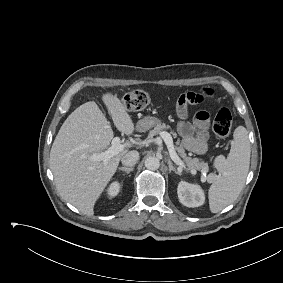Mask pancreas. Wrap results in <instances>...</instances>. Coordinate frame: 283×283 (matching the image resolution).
I'll return each instance as SVG.
<instances>
[{"mask_svg":"<svg viewBox=\"0 0 283 283\" xmlns=\"http://www.w3.org/2000/svg\"><path fill=\"white\" fill-rule=\"evenodd\" d=\"M170 129L169 125H166L164 123H159L157 126L154 127L153 130L150 131L149 133V137H153L154 135L160 134L163 130H167ZM171 135L176 138L177 137V133L174 131H171ZM176 149L180 155V157L184 160L186 166L188 167V169H193V170H199L202 173H207L209 171V166L208 163L202 161V159L199 158H191L189 156H187L185 149L183 148L180 140L178 139L176 142ZM201 180L203 182L207 181V182H212L213 178L212 175H202Z\"/></svg>","mask_w":283,"mask_h":283,"instance_id":"pancreas-1","label":"pancreas"}]
</instances>
